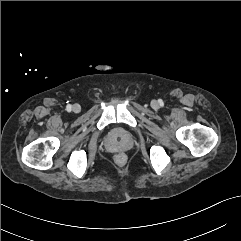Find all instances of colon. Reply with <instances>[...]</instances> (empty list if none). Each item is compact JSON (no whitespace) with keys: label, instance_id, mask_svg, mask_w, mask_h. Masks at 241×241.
<instances>
[{"label":"colon","instance_id":"obj_1","mask_svg":"<svg viewBox=\"0 0 241 241\" xmlns=\"http://www.w3.org/2000/svg\"><path fill=\"white\" fill-rule=\"evenodd\" d=\"M116 159H117L119 162H122V161L125 160V156H124L123 154H118V155L116 156Z\"/></svg>","mask_w":241,"mask_h":241}]
</instances>
